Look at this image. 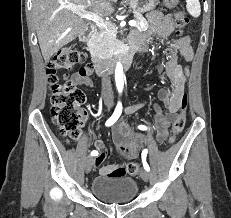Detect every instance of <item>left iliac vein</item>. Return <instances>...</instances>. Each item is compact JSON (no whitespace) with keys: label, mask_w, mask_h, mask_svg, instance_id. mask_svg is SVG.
<instances>
[{"label":"left iliac vein","mask_w":231,"mask_h":218,"mask_svg":"<svg viewBox=\"0 0 231 218\" xmlns=\"http://www.w3.org/2000/svg\"><path fill=\"white\" fill-rule=\"evenodd\" d=\"M141 178L145 181V182H148L149 179H150V174L148 171L146 170H142L141 171Z\"/></svg>","instance_id":"1"}]
</instances>
